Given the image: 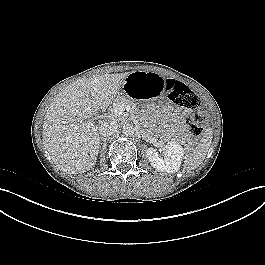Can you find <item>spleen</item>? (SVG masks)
Returning a JSON list of instances; mask_svg holds the SVG:
<instances>
[{"instance_id": "spleen-1", "label": "spleen", "mask_w": 265, "mask_h": 265, "mask_svg": "<svg viewBox=\"0 0 265 265\" xmlns=\"http://www.w3.org/2000/svg\"><path fill=\"white\" fill-rule=\"evenodd\" d=\"M212 141V131L207 129L204 137L196 148L189 154H186L183 168L185 171H191L197 168L204 160Z\"/></svg>"}]
</instances>
